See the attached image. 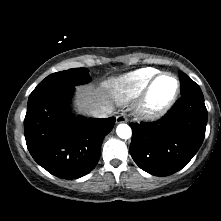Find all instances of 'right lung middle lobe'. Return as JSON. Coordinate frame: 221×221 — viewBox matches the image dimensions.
Returning <instances> with one entry per match:
<instances>
[{
    "instance_id": "right-lung-middle-lobe-1",
    "label": "right lung middle lobe",
    "mask_w": 221,
    "mask_h": 221,
    "mask_svg": "<svg viewBox=\"0 0 221 221\" xmlns=\"http://www.w3.org/2000/svg\"><path fill=\"white\" fill-rule=\"evenodd\" d=\"M89 70L86 68H75L53 73L47 76L30 94L29 99L46 91L59 88L73 87L84 84L91 80Z\"/></svg>"
}]
</instances>
